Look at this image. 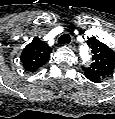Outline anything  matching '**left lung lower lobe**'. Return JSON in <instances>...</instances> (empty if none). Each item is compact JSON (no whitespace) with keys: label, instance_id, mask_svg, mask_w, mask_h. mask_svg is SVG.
Wrapping results in <instances>:
<instances>
[{"label":"left lung lower lobe","instance_id":"left-lung-lower-lobe-1","mask_svg":"<svg viewBox=\"0 0 115 119\" xmlns=\"http://www.w3.org/2000/svg\"><path fill=\"white\" fill-rule=\"evenodd\" d=\"M85 76L92 82L94 83H100L101 82V78L93 76V75H89V74H85Z\"/></svg>","mask_w":115,"mask_h":119}]
</instances>
